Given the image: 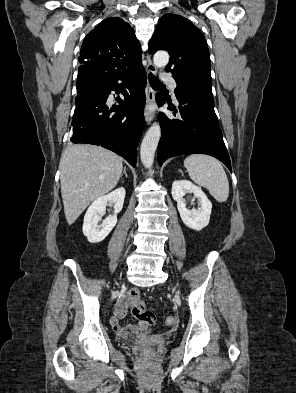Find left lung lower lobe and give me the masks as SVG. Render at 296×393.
I'll return each instance as SVG.
<instances>
[{"label": "left lung lower lobe", "mask_w": 296, "mask_h": 393, "mask_svg": "<svg viewBox=\"0 0 296 393\" xmlns=\"http://www.w3.org/2000/svg\"><path fill=\"white\" fill-rule=\"evenodd\" d=\"M181 119H169L159 113L162 135L158 144V163L183 154H207L222 161L231 170L230 158L214 111L213 94L207 91H186L176 95ZM159 106L165 103L156 96ZM170 110L175 111L170 107ZM175 115V114H174Z\"/></svg>", "instance_id": "1"}]
</instances>
